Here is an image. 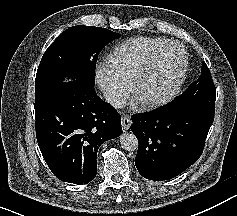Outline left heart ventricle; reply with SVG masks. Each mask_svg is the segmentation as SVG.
Returning a JSON list of instances; mask_svg holds the SVG:
<instances>
[{"instance_id": "b2bd125f", "label": "left heart ventricle", "mask_w": 237, "mask_h": 216, "mask_svg": "<svg viewBox=\"0 0 237 216\" xmlns=\"http://www.w3.org/2000/svg\"><path fill=\"white\" fill-rule=\"evenodd\" d=\"M182 63V56L162 60L155 69L142 76L139 96L149 99L162 96L177 80Z\"/></svg>"}]
</instances>
